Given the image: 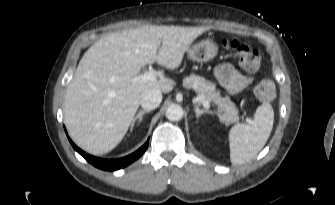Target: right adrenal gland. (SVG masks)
<instances>
[{
  "label": "right adrenal gland",
  "mask_w": 335,
  "mask_h": 205,
  "mask_svg": "<svg viewBox=\"0 0 335 205\" xmlns=\"http://www.w3.org/2000/svg\"><path fill=\"white\" fill-rule=\"evenodd\" d=\"M150 110H141L137 113V115L133 118V121L131 123V132L133 131L134 129V125H135V122L138 120V123H137V126L140 124V122L142 121V117L145 113H149Z\"/></svg>",
  "instance_id": "2a0ac1e0"
}]
</instances>
